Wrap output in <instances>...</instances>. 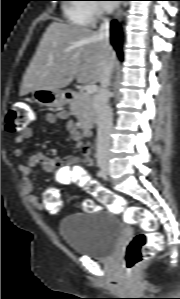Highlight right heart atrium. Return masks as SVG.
Here are the masks:
<instances>
[{
    "instance_id": "obj_1",
    "label": "right heart atrium",
    "mask_w": 180,
    "mask_h": 299,
    "mask_svg": "<svg viewBox=\"0 0 180 299\" xmlns=\"http://www.w3.org/2000/svg\"><path fill=\"white\" fill-rule=\"evenodd\" d=\"M93 2H96V3L89 5L88 10H89V13H90L92 19L94 20V19H99L102 17L103 10L98 1H93Z\"/></svg>"
}]
</instances>
